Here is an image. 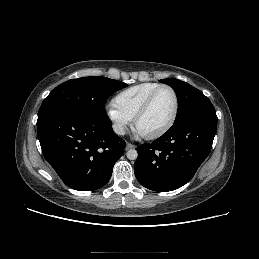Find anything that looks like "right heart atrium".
Here are the masks:
<instances>
[{
    "label": "right heart atrium",
    "mask_w": 259,
    "mask_h": 259,
    "mask_svg": "<svg viewBox=\"0 0 259 259\" xmlns=\"http://www.w3.org/2000/svg\"><path fill=\"white\" fill-rule=\"evenodd\" d=\"M106 116L112 124L114 131L122 135L126 132L131 120L121 113L114 105L106 107Z\"/></svg>",
    "instance_id": "d8ad5b80"
}]
</instances>
